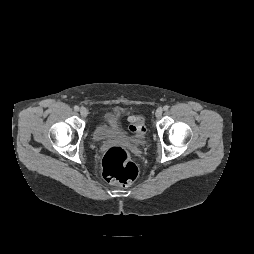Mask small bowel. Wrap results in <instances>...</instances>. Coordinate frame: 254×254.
<instances>
[{
  "mask_svg": "<svg viewBox=\"0 0 254 254\" xmlns=\"http://www.w3.org/2000/svg\"><path fill=\"white\" fill-rule=\"evenodd\" d=\"M131 119H132V117L129 118L130 122H131ZM108 122H109L111 125H116V119H115L112 115H109V116H108Z\"/></svg>",
  "mask_w": 254,
  "mask_h": 254,
  "instance_id": "small-bowel-1",
  "label": "small bowel"
}]
</instances>
